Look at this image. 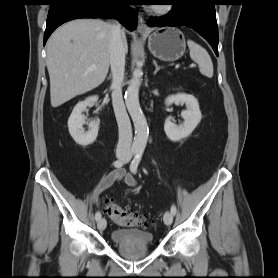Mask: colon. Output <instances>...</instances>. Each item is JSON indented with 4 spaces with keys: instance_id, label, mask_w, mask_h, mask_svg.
<instances>
[{
    "instance_id": "colon-1",
    "label": "colon",
    "mask_w": 278,
    "mask_h": 278,
    "mask_svg": "<svg viewBox=\"0 0 278 278\" xmlns=\"http://www.w3.org/2000/svg\"><path fill=\"white\" fill-rule=\"evenodd\" d=\"M105 211L117 224L126 227L147 226V216L142 211H133L118 205L110 199L106 202Z\"/></svg>"
}]
</instances>
